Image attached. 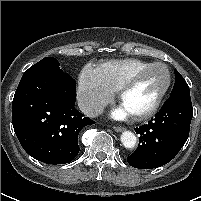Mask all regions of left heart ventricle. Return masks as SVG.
Returning a JSON list of instances; mask_svg holds the SVG:
<instances>
[{"label":"left heart ventricle","mask_w":201,"mask_h":201,"mask_svg":"<svg viewBox=\"0 0 201 201\" xmlns=\"http://www.w3.org/2000/svg\"><path fill=\"white\" fill-rule=\"evenodd\" d=\"M167 74L163 67L152 68L124 96L122 106L131 114L148 109L166 84Z\"/></svg>","instance_id":"obj_1"}]
</instances>
